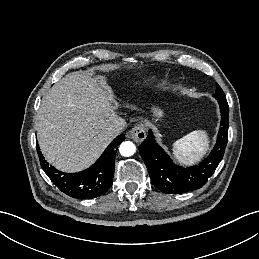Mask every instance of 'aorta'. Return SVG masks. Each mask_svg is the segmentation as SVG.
<instances>
[{"label":"aorta","instance_id":"aorta-1","mask_svg":"<svg viewBox=\"0 0 259 259\" xmlns=\"http://www.w3.org/2000/svg\"><path fill=\"white\" fill-rule=\"evenodd\" d=\"M136 147L135 145L130 141H125L121 143L119 147V152L124 157L132 156L135 153Z\"/></svg>","mask_w":259,"mask_h":259}]
</instances>
